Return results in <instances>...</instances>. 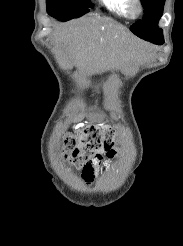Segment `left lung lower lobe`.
<instances>
[{
  "label": "left lung lower lobe",
  "instance_id": "1",
  "mask_svg": "<svg viewBox=\"0 0 183 246\" xmlns=\"http://www.w3.org/2000/svg\"><path fill=\"white\" fill-rule=\"evenodd\" d=\"M149 42H152L157 45H162L164 43V39L163 38L151 39V41Z\"/></svg>",
  "mask_w": 183,
  "mask_h": 246
}]
</instances>
